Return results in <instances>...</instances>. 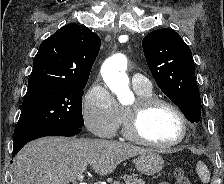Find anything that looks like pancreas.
<instances>
[{"label": "pancreas", "mask_w": 224, "mask_h": 184, "mask_svg": "<svg viewBox=\"0 0 224 184\" xmlns=\"http://www.w3.org/2000/svg\"><path fill=\"white\" fill-rule=\"evenodd\" d=\"M122 184H145V182L142 179H138L133 176H127L126 178H123ZM112 184H120L119 181H114Z\"/></svg>", "instance_id": "cf45deb5"}]
</instances>
